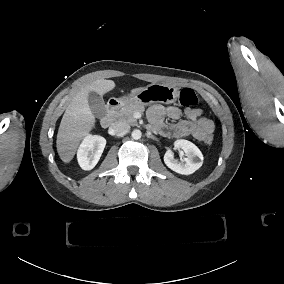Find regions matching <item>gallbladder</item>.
Returning <instances> with one entry per match:
<instances>
[{"label":"gallbladder","instance_id":"obj_1","mask_svg":"<svg viewBox=\"0 0 284 284\" xmlns=\"http://www.w3.org/2000/svg\"><path fill=\"white\" fill-rule=\"evenodd\" d=\"M89 104L93 115L96 118L102 119L106 116V107L103 99L94 93L89 95Z\"/></svg>","mask_w":284,"mask_h":284}]
</instances>
